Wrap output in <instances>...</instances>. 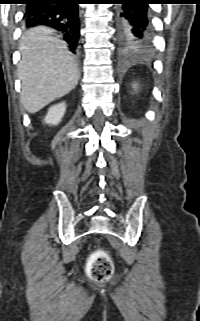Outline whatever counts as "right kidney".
<instances>
[{
	"label": "right kidney",
	"mask_w": 200,
	"mask_h": 321,
	"mask_svg": "<svg viewBox=\"0 0 200 321\" xmlns=\"http://www.w3.org/2000/svg\"><path fill=\"white\" fill-rule=\"evenodd\" d=\"M66 110L65 103H58L48 109L47 115L44 118V122L49 125H57L60 123Z\"/></svg>",
	"instance_id": "right-kidney-1"
}]
</instances>
